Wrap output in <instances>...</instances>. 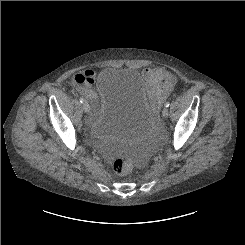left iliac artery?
Here are the masks:
<instances>
[{
	"mask_svg": "<svg viewBox=\"0 0 245 245\" xmlns=\"http://www.w3.org/2000/svg\"><path fill=\"white\" fill-rule=\"evenodd\" d=\"M170 103L169 102H166L165 103V107H169Z\"/></svg>",
	"mask_w": 245,
	"mask_h": 245,
	"instance_id": "obj_1",
	"label": "left iliac artery"
}]
</instances>
